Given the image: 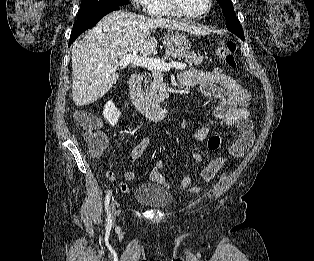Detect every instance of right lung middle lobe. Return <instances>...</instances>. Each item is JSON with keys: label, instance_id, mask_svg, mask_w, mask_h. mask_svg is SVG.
Returning a JSON list of instances; mask_svg holds the SVG:
<instances>
[{"label": "right lung middle lobe", "instance_id": "obj_1", "mask_svg": "<svg viewBox=\"0 0 314 261\" xmlns=\"http://www.w3.org/2000/svg\"><path fill=\"white\" fill-rule=\"evenodd\" d=\"M129 4V0H82L77 19L88 17L111 6Z\"/></svg>", "mask_w": 314, "mask_h": 261}]
</instances>
